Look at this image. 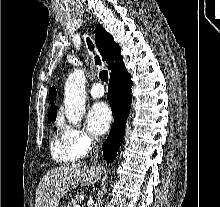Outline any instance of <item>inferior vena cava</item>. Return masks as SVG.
Listing matches in <instances>:
<instances>
[{
    "mask_svg": "<svg viewBox=\"0 0 220 207\" xmlns=\"http://www.w3.org/2000/svg\"><path fill=\"white\" fill-rule=\"evenodd\" d=\"M96 142H94L95 144ZM98 158V147L95 148V151H94V156L92 157V160H95Z\"/></svg>",
    "mask_w": 220,
    "mask_h": 207,
    "instance_id": "inferior-vena-cava-1",
    "label": "inferior vena cava"
}]
</instances>
